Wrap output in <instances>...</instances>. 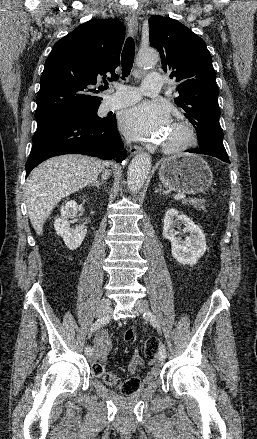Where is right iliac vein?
Masks as SVG:
<instances>
[{
    "instance_id": "obj_1",
    "label": "right iliac vein",
    "mask_w": 257,
    "mask_h": 439,
    "mask_svg": "<svg viewBox=\"0 0 257 439\" xmlns=\"http://www.w3.org/2000/svg\"><path fill=\"white\" fill-rule=\"evenodd\" d=\"M110 306H111V301L108 298H103L98 305V309H97V316L98 317H102L105 314H107L110 311ZM94 355H90L89 356V361L93 362L94 361Z\"/></svg>"
}]
</instances>
